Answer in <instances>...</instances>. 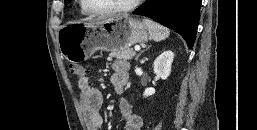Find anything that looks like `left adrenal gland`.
Returning a JSON list of instances; mask_svg holds the SVG:
<instances>
[{
    "label": "left adrenal gland",
    "mask_w": 257,
    "mask_h": 130,
    "mask_svg": "<svg viewBox=\"0 0 257 130\" xmlns=\"http://www.w3.org/2000/svg\"><path fill=\"white\" fill-rule=\"evenodd\" d=\"M142 52H143V51H142ZM142 52H141V53H142ZM141 53H140V54H141ZM140 54L137 55L136 60H138V57L140 56Z\"/></svg>",
    "instance_id": "left-adrenal-gland-1"
}]
</instances>
